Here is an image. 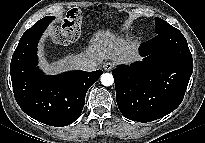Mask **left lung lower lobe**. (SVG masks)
<instances>
[{
  "mask_svg": "<svg viewBox=\"0 0 205 143\" xmlns=\"http://www.w3.org/2000/svg\"><path fill=\"white\" fill-rule=\"evenodd\" d=\"M143 61L112 71L120 112L137 122H150L174 111L182 102L193 72L183 34H157L139 48Z\"/></svg>",
  "mask_w": 205,
  "mask_h": 143,
  "instance_id": "left-lung-lower-lobe-1",
  "label": "left lung lower lobe"
}]
</instances>
